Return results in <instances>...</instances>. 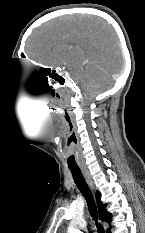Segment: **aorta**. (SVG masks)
<instances>
[{"label": "aorta", "instance_id": "762f6f07", "mask_svg": "<svg viewBox=\"0 0 145 233\" xmlns=\"http://www.w3.org/2000/svg\"><path fill=\"white\" fill-rule=\"evenodd\" d=\"M86 228V221L83 218L73 219L68 227V233H82Z\"/></svg>", "mask_w": 145, "mask_h": 233}]
</instances>
